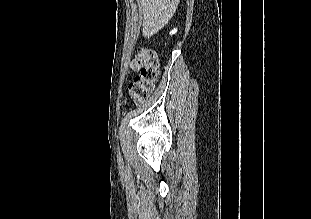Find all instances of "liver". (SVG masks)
<instances>
[{"label": "liver", "mask_w": 311, "mask_h": 219, "mask_svg": "<svg viewBox=\"0 0 311 219\" xmlns=\"http://www.w3.org/2000/svg\"><path fill=\"white\" fill-rule=\"evenodd\" d=\"M143 13L142 34L150 38L158 33L173 17L179 0H138Z\"/></svg>", "instance_id": "1"}]
</instances>
